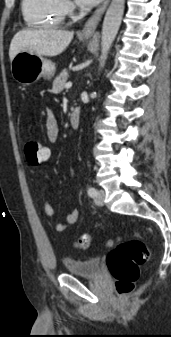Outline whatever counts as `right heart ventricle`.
<instances>
[{"instance_id": "obj_1", "label": "right heart ventricle", "mask_w": 171, "mask_h": 337, "mask_svg": "<svg viewBox=\"0 0 171 337\" xmlns=\"http://www.w3.org/2000/svg\"><path fill=\"white\" fill-rule=\"evenodd\" d=\"M21 9L25 22L31 27H56L66 16L63 0H22Z\"/></svg>"}]
</instances>
